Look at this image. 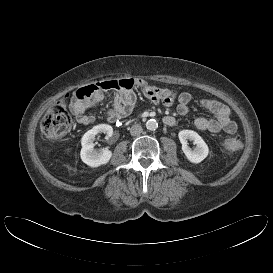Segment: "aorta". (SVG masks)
I'll return each instance as SVG.
<instances>
[{
  "instance_id": "762f6f07",
  "label": "aorta",
  "mask_w": 273,
  "mask_h": 273,
  "mask_svg": "<svg viewBox=\"0 0 273 273\" xmlns=\"http://www.w3.org/2000/svg\"><path fill=\"white\" fill-rule=\"evenodd\" d=\"M146 128L150 131L156 130L158 128V123L155 119H150L146 122Z\"/></svg>"
}]
</instances>
